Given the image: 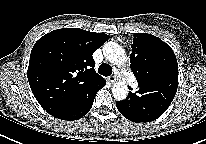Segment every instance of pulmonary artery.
<instances>
[{"label":"pulmonary artery","instance_id":"pulmonary-artery-1","mask_svg":"<svg viewBox=\"0 0 206 144\" xmlns=\"http://www.w3.org/2000/svg\"><path fill=\"white\" fill-rule=\"evenodd\" d=\"M129 82L131 83V85L136 88L137 87V83L135 82V80L132 77H129Z\"/></svg>","mask_w":206,"mask_h":144}]
</instances>
